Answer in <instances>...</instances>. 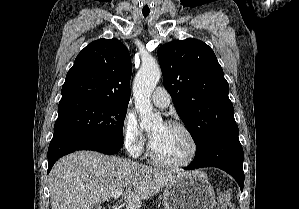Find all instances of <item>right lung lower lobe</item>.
<instances>
[{
  "label": "right lung lower lobe",
  "mask_w": 299,
  "mask_h": 209,
  "mask_svg": "<svg viewBox=\"0 0 299 209\" xmlns=\"http://www.w3.org/2000/svg\"><path fill=\"white\" fill-rule=\"evenodd\" d=\"M121 146L102 138H91L66 131L54 132L48 149V171L62 156L77 150H93L112 155L121 150Z\"/></svg>",
  "instance_id": "98d812e1"
}]
</instances>
